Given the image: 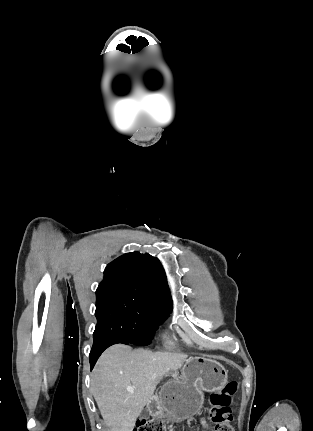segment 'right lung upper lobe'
I'll use <instances>...</instances> for the list:
<instances>
[{
	"label": "right lung upper lobe",
	"mask_w": 313,
	"mask_h": 431,
	"mask_svg": "<svg viewBox=\"0 0 313 431\" xmlns=\"http://www.w3.org/2000/svg\"><path fill=\"white\" fill-rule=\"evenodd\" d=\"M117 293L149 301L159 307H172L164 269L149 254L126 253L107 265L96 296Z\"/></svg>",
	"instance_id": "obj_1"
}]
</instances>
